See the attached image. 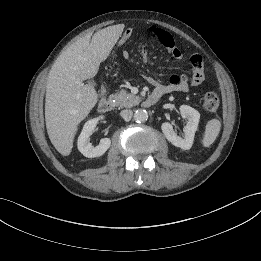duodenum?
<instances>
[{"label": "duodenum", "mask_w": 261, "mask_h": 261, "mask_svg": "<svg viewBox=\"0 0 261 261\" xmlns=\"http://www.w3.org/2000/svg\"><path fill=\"white\" fill-rule=\"evenodd\" d=\"M162 96V94L158 91H154L151 94H149L146 99L144 100L143 104L145 107H151L153 105H155L160 97ZM114 108V103L112 100L108 99V98H103L98 106V109L101 113H108L110 111H112Z\"/></svg>", "instance_id": "1"}]
</instances>
